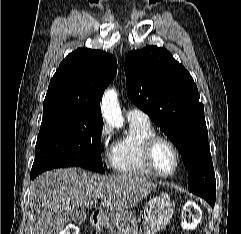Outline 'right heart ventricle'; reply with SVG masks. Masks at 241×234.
<instances>
[{"mask_svg": "<svg viewBox=\"0 0 241 234\" xmlns=\"http://www.w3.org/2000/svg\"><path fill=\"white\" fill-rule=\"evenodd\" d=\"M156 134L150 122L129 121V132L117 140L110 152V163L115 172L128 176L155 175L145 164L143 146Z\"/></svg>", "mask_w": 241, "mask_h": 234, "instance_id": "obj_1", "label": "right heart ventricle"}]
</instances>
